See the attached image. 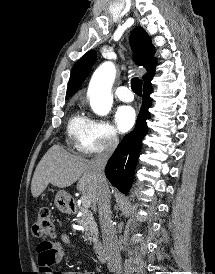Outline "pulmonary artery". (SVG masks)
<instances>
[{"label": "pulmonary artery", "instance_id": "obj_1", "mask_svg": "<svg viewBox=\"0 0 215 274\" xmlns=\"http://www.w3.org/2000/svg\"><path fill=\"white\" fill-rule=\"evenodd\" d=\"M115 95L118 99L123 102H131L134 99V96L131 90L126 86H120L115 90Z\"/></svg>", "mask_w": 215, "mask_h": 274}]
</instances>
